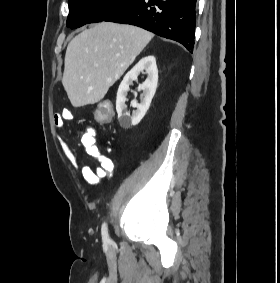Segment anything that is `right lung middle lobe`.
<instances>
[{
	"instance_id": "dd1d6c3e",
	"label": "right lung middle lobe",
	"mask_w": 280,
	"mask_h": 283,
	"mask_svg": "<svg viewBox=\"0 0 280 283\" xmlns=\"http://www.w3.org/2000/svg\"><path fill=\"white\" fill-rule=\"evenodd\" d=\"M132 0H69L66 25L71 29L104 21Z\"/></svg>"
}]
</instances>
